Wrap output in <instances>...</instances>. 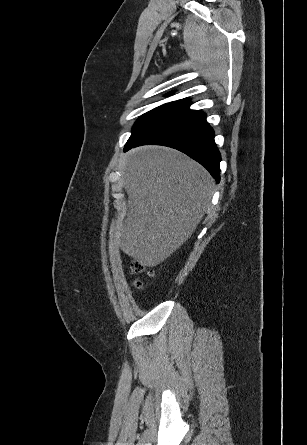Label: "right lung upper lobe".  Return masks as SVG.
<instances>
[{
	"instance_id": "1",
	"label": "right lung upper lobe",
	"mask_w": 307,
	"mask_h": 445,
	"mask_svg": "<svg viewBox=\"0 0 307 445\" xmlns=\"http://www.w3.org/2000/svg\"><path fill=\"white\" fill-rule=\"evenodd\" d=\"M182 101L189 102L190 99L189 98H185V99H182Z\"/></svg>"
}]
</instances>
